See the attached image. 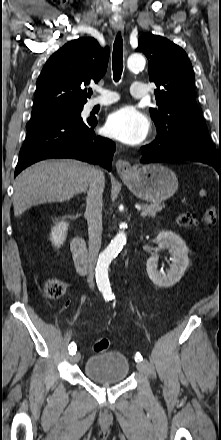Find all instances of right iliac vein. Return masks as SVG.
I'll return each instance as SVG.
<instances>
[{"mask_svg": "<svg viewBox=\"0 0 221 440\" xmlns=\"http://www.w3.org/2000/svg\"><path fill=\"white\" fill-rule=\"evenodd\" d=\"M70 360L73 363H77L80 360V354L79 353L74 354Z\"/></svg>", "mask_w": 221, "mask_h": 440, "instance_id": "1", "label": "right iliac vein"}]
</instances>
